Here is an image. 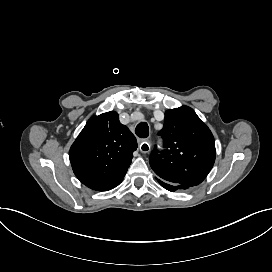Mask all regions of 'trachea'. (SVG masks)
Segmentation results:
<instances>
[{
	"label": "trachea",
	"instance_id": "1",
	"mask_svg": "<svg viewBox=\"0 0 272 272\" xmlns=\"http://www.w3.org/2000/svg\"><path fill=\"white\" fill-rule=\"evenodd\" d=\"M135 133L141 138L148 137L149 134L148 124L146 122L139 123L135 128Z\"/></svg>",
	"mask_w": 272,
	"mask_h": 272
}]
</instances>
